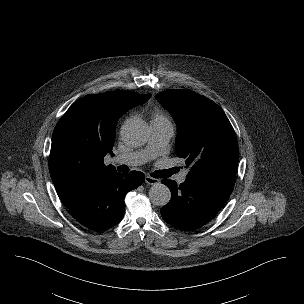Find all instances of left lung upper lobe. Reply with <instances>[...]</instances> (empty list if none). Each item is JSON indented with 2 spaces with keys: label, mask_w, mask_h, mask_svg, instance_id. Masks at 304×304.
<instances>
[{
  "label": "left lung upper lobe",
  "mask_w": 304,
  "mask_h": 304,
  "mask_svg": "<svg viewBox=\"0 0 304 304\" xmlns=\"http://www.w3.org/2000/svg\"><path fill=\"white\" fill-rule=\"evenodd\" d=\"M156 99L176 121L175 152L190 167L185 181L230 196L239 149L234 129L223 110L189 90H167L158 93Z\"/></svg>",
  "instance_id": "obj_1"
}]
</instances>
